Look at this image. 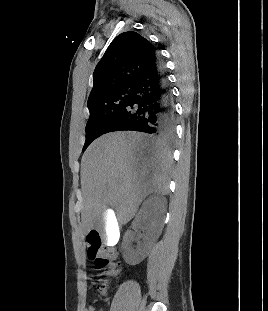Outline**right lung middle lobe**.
Here are the masks:
<instances>
[{
	"label": "right lung middle lobe",
	"instance_id": "obj_1",
	"mask_svg": "<svg viewBox=\"0 0 268 311\" xmlns=\"http://www.w3.org/2000/svg\"><path fill=\"white\" fill-rule=\"evenodd\" d=\"M133 86L118 89L88 105L89 119L85 128L86 140L82 151L98 137L108 133L110 126L126 108Z\"/></svg>",
	"mask_w": 268,
	"mask_h": 311
}]
</instances>
